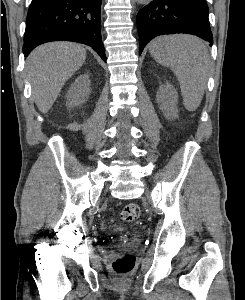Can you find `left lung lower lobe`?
Returning <instances> with one entry per match:
<instances>
[{
  "instance_id": "left-lung-lower-lobe-1",
  "label": "left lung lower lobe",
  "mask_w": 245,
  "mask_h": 300,
  "mask_svg": "<svg viewBox=\"0 0 245 300\" xmlns=\"http://www.w3.org/2000/svg\"><path fill=\"white\" fill-rule=\"evenodd\" d=\"M139 55L156 36L174 33L196 35L213 43L206 0H153L137 14Z\"/></svg>"
}]
</instances>
